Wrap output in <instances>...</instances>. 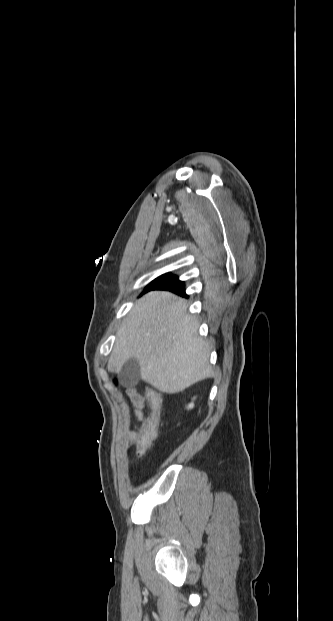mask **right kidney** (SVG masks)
I'll return each instance as SVG.
<instances>
[{"instance_id":"right-kidney-1","label":"right kidney","mask_w":333,"mask_h":621,"mask_svg":"<svg viewBox=\"0 0 333 621\" xmlns=\"http://www.w3.org/2000/svg\"><path fill=\"white\" fill-rule=\"evenodd\" d=\"M193 407H194V403H193V402H191V403L188 405V409H192Z\"/></svg>"}]
</instances>
